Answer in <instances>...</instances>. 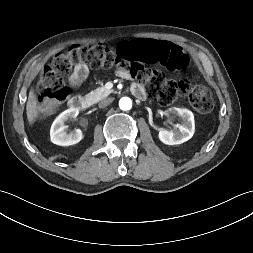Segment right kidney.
Wrapping results in <instances>:
<instances>
[{"mask_svg": "<svg viewBox=\"0 0 253 253\" xmlns=\"http://www.w3.org/2000/svg\"><path fill=\"white\" fill-rule=\"evenodd\" d=\"M78 114V109L70 108L57 116L50 129V139L52 143L59 146H70L77 144L83 139V133L80 129L67 133V126H65V122L75 119Z\"/></svg>", "mask_w": 253, "mask_h": 253, "instance_id": "obj_1", "label": "right kidney"}]
</instances>
